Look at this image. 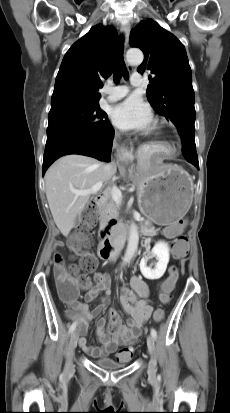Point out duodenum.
<instances>
[{"label": "duodenum", "mask_w": 230, "mask_h": 413, "mask_svg": "<svg viewBox=\"0 0 230 413\" xmlns=\"http://www.w3.org/2000/svg\"><path fill=\"white\" fill-rule=\"evenodd\" d=\"M106 195L107 193L105 191L99 193L95 199V203L101 205L105 201ZM120 234L121 228L116 222L109 221L105 225L102 231V240L98 249L101 259L107 260L117 253Z\"/></svg>", "instance_id": "1"}]
</instances>
